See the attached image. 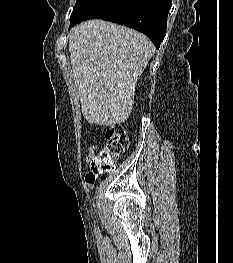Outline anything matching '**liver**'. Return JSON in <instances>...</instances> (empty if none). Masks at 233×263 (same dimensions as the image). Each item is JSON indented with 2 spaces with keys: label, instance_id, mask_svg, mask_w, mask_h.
Here are the masks:
<instances>
[{
  "label": "liver",
  "instance_id": "liver-1",
  "mask_svg": "<svg viewBox=\"0 0 233 263\" xmlns=\"http://www.w3.org/2000/svg\"><path fill=\"white\" fill-rule=\"evenodd\" d=\"M69 52L85 119L103 126L125 122L137 81L154 55L152 42L133 29L96 19L73 28Z\"/></svg>",
  "mask_w": 233,
  "mask_h": 263
}]
</instances>
